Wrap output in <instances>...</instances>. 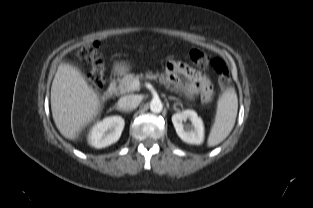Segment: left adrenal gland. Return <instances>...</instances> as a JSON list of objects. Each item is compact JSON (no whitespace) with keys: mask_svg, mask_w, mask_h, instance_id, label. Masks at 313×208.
Here are the masks:
<instances>
[{"mask_svg":"<svg viewBox=\"0 0 313 208\" xmlns=\"http://www.w3.org/2000/svg\"><path fill=\"white\" fill-rule=\"evenodd\" d=\"M169 100H176V101H178V102H179V99H178V98H176V97H173V96H169Z\"/></svg>","mask_w":313,"mask_h":208,"instance_id":"left-adrenal-gland-1","label":"left adrenal gland"}]
</instances>
